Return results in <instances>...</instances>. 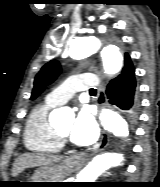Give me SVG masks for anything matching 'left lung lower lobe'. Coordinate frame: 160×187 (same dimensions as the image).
<instances>
[{"label":"left lung lower lobe","mask_w":160,"mask_h":187,"mask_svg":"<svg viewBox=\"0 0 160 187\" xmlns=\"http://www.w3.org/2000/svg\"><path fill=\"white\" fill-rule=\"evenodd\" d=\"M106 95L109 102L119 107L128 119H136L139 110V96L135 68L130 56L124 57L122 71L110 81L106 89Z\"/></svg>","instance_id":"0a47b994"}]
</instances>
